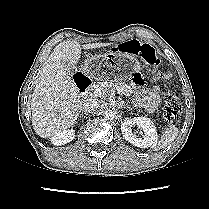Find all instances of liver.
<instances>
[{
    "instance_id": "liver-1",
    "label": "liver",
    "mask_w": 209,
    "mask_h": 209,
    "mask_svg": "<svg viewBox=\"0 0 209 209\" xmlns=\"http://www.w3.org/2000/svg\"><path fill=\"white\" fill-rule=\"evenodd\" d=\"M110 43H89L83 49L109 46ZM81 46L76 41L58 44L47 59L31 98L32 125L42 138L72 127L82 110L80 93L71 78L77 70Z\"/></svg>"
}]
</instances>
